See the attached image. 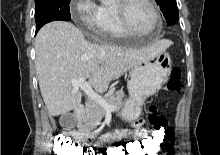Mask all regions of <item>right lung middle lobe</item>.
<instances>
[{
	"label": "right lung middle lobe",
	"mask_w": 220,
	"mask_h": 155,
	"mask_svg": "<svg viewBox=\"0 0 220 155\" xmlns=\"http://www.w3.org/2000/svg\"><path fill=\"white\" fill-rule=\"evenodd\" d=\"M70 0H35L36 28L54 20H71Z\"/></svg>",
	"instance_id": "right-lung-middle-lobe-1"
}]
</instances>
